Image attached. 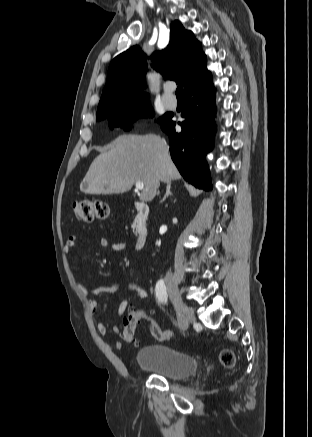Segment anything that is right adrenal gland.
Instances as JSON below:
<instances>
[{
  "mask_svg": "<svg viewBox=\"0 0 312 437\" xmlns=\"http://www.w3.org/2000/svg\"><path fill=\"white\" fill-rule=\"evenodd\" d=\"M171 195H172V192H171V183H168V184H167L166 193H165L164 197L162 198L161 202L165 201L166 198H167L168 196H171Z\"/></svg>",
  "mask_w": 312,
  "mask_h": 437,
  "instance_id": "right-adrenal-gland-1",
  "label": "right adrenal gland"
}]
</instances>
